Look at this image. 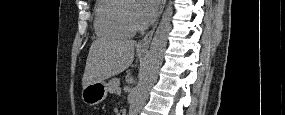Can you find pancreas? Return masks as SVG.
Listing matches in <instances>:
<instances>
[{"mask_svg": "<svg viewBox=\"0 0 285 115\" xmlns=\"http://www.w3.org/2000/svg\"><path fill=\"white\" fill-rule=\"evenodd\" d=\"M119 85H120V79L119 78H112L107 84L108 91L111 94L115 93L118 90Z\"/></svg>", "mask_w": 285, "mask_h": 115, "instance_id": "cf45deb5", "label": "pancreas"}]
</instances>
